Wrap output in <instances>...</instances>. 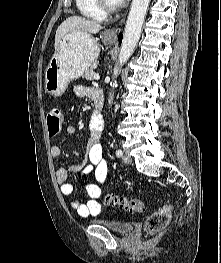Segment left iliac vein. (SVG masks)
I'll use <instances>...</instances> for the list:
<instances>
[{"mask_svg": "<svg viewBox=\"0 0 221 263\" xmlns=\"http://www.w3.org/2000/svg\"><path fill=\"white\" fill-rule=\"evenodd\" d=\"M123 161H124L125 163H131V161H132L131 156H130L127 152H124Z\"/></svg>", "mask_w": 221, "mask_h": 263, "instance_id": "4c4485c4", "label": "left iliac vein"}]
</instances>
